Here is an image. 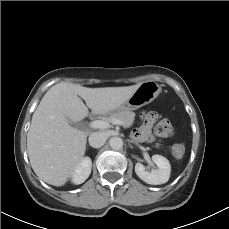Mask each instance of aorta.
Listing matches in <instances>:
<instances>
[{
	"mask_svg": "<svg viewBox=\"0 0 229 229\" xmlns=\"http://www.w3.org/2000/svg\"><path fill=\"white\" fill-rule=\"evenodd\" d=\"M110 147L114 150H120L123 147V140L119 137H112L109 140Z\"/></svg>",
	"mask_w": 229,
	"mask_h": 229,
	"instance_id": "aorta-1",
	"label": "aorta"
}]
</instances>
